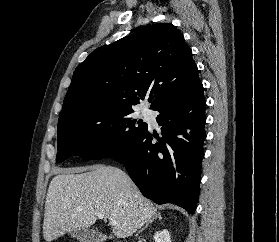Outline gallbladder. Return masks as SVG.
Segmentation results:
<instances>
[{"label":"gallbladder","instance_id":"1","mask_svg":"<svg viewBox=\"0 0 279 242\" xmlns=\"http://www.w3.org/2000/svg\"><path fill=\"white\" fill-rule=\"evenodd\" d=\"M70 235L80 242H103L107 238L106 235L93 229H75Z\"/></svg>","mask_w":279,"mask_h":242}]
</instances>
